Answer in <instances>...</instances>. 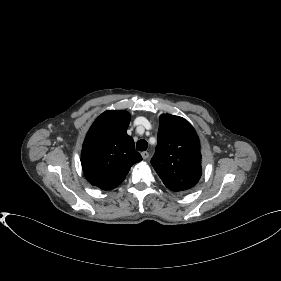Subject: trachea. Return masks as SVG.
Listing matches in <instances>:
<instances>
[{"label": "trachea", "mask_w": 281, "mask_h": 281, "mask_svg": "<svg viewBox=\"0 0 281 281\" xmlns=\"http://www.w3.org/2000/svg\"><path fill=\"white\" fill-rule=\"evenodd\" d=\"M147 147H148V143L146 140H143V139L139 140L136 144V149L138 151H145V150H147Z\"/></svg>", "instance_id": "obj_1"}]
</instances>
